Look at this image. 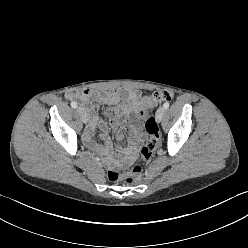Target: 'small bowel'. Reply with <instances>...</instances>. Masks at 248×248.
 Returning a JSON list of instances; mask_svg holds the SVG:
<instances>
[{"instance_id":"1","label":"small bowel","mask_w":248,"mask_h":248,"mask_svg":"<svg viewBox=\"0 0 248 248\" xmlns=\"http://www.w3.org/2000/svg\"><path fill=\"white\" fill-rule=\"evenodd\" d=\"M69 100L81 102L88 111L93 112L94 102L108 105L104 114L111 122L115 130L116 138L124 141V145H118L113 150L112 139L108 135L107 122L101 120L98 127L101 131L103 145H99L93 140L95 132L96 117L93 123L87 127L83 140L91 149L101 151L107 156L116 155L122 157V161L131 162L136 154L137 147L144 141V135L140 126L131 118L132 115H139L144 107L141 100V93L130 88H120L111 91H96L84 89L70 92L66 95Z\"/></svg>"}]
</instances>
